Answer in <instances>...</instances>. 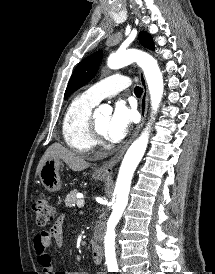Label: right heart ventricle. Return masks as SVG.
Masks as SVG:
<instances>
[{"label": "right heart ventricle", "mask_w": 215, "mask_h": 274, "mask_svg": "<svg viewBox=\"0 0 215 274\" xmlns=\"http://www.w3.org/2000/svg\"><path fill=\"white\" fill-rule=\"evenodd\" d=\"M96 104L81 94L72 99L65 111L62 121L63 138L65 143L77 152L87 153L95 145L89 131V118Z\"/></svg>", "instance_id": "1"}]
</instances>
